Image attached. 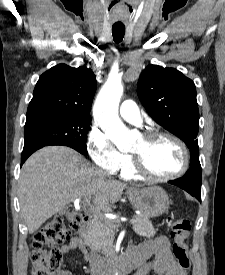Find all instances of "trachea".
<instances>
[{
    "instance_id": "trachea-1",
    "label": "trachea",
    "mask_w": 225,
    "mask_h": 275,
    "mask_svg": "<svg viewBox=\"0 0 225 275\" xmlns=\"http://www.w3.org/2000/svg\"><path fill=\"white\" fill-rule=\"evenodd\" d=\"M113 39L116 43H120L125 34V27H112Z\"/></svg>"
}]
</instances>
